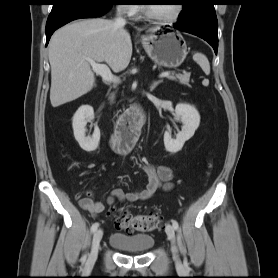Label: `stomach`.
Here are the masks:
<instances>
[{"instance_id":"0dacf381","label":"stomach","mask_w":278,"mask_h":278,"mask_svg":"<svg viewBox=\"0 0 278 278\" xmlns=\"http://www.w3.org/2000/svg\"><path fill=\"white\" fill-rule=\"evenodd\" d=\"M141 41L151 60L167 68L180 66L187 56V45L180 33L162 31L160 35L142 36Z\"/></svg>"}]
</instances>
